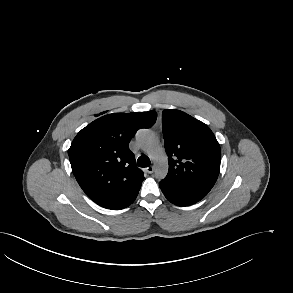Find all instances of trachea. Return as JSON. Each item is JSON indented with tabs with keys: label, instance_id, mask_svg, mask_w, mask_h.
<instances>
[{
	"label": "trachea",
	"instance_id": "3493384b",
	"mask_svg": "<svg viewBox=\"0 0 293 293\" xmlns=\"http://www.w3.org/2000/svg\"><path fill=\"white\" fill-rule=\"evenodd\" d=\"M139 167H149L150 166V159L147 156H140L137 160Z\"/></svg>",
	"mask_w": 293,
	"mask_h": 293
}]
</instances>
